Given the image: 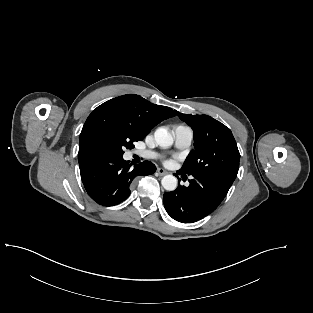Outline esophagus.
Here are the masks:
<instances>
[{
    "label": "esophagus",
    "mask_w": 313,
    "mask_h": 313,
    "mask_svg": "<svg viewBox=\"0 0 313 313\" xmlns=\"http://www.w3.org/2000/svg\"><path fill=\"white\" fill-rule=\"evenodd\" d=\"M157 173H158L160 176H163V175L168 174V172H167L166 170H164L163 168H158V169H157Z\"/></svg>",
    "instance_id": "1"
}]
</instances>
